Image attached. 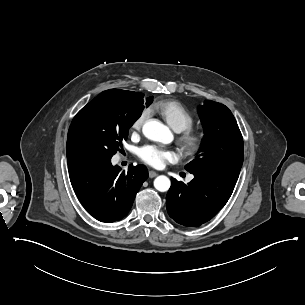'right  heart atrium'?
<instances>
[{"label": "right heart atrium", "instance_id": "right-heart-atrium-1", "mask_svg": "<svg viewBox=\"0 0 305 305\" xmlns=\"http://www.w3.org/2000/svg\"><path fill=\"white\" fill-rule=\"evenodd\" d=\"M147 114H148L147 110H144L133 120V122L130 126V131L132 133H135L141 129L142 124H143L145 118L147 117Z\"/></svg>", "mask_w": 305, "mask_h": 305}]
</instances>
